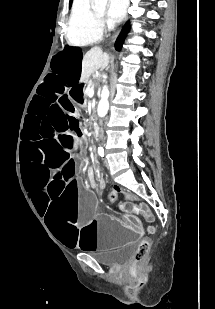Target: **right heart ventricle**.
Segmentation results:
<instances>
[{"instance_id": "1", "label": "right heart ventricle", "mask_w": 215, "mask_h": 309, "mask_svg": "<svg viewBox=\"0 0 215 309\" xmlns=\"http://www.w3.org/2000/svg\"><path fill=\"white\" fill-rule=\"evenodd\" d=\"M65 38L68 45L72 47H84L89 42H99L102 33L92 23L87 9H76L72 11L69 23L65 25Z\"/></svg>"}]
</instances>
